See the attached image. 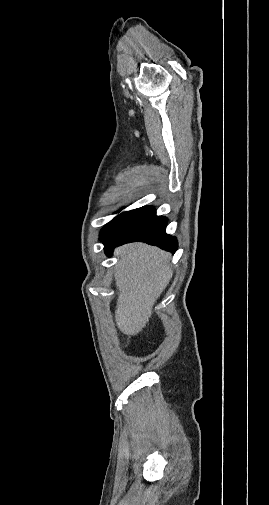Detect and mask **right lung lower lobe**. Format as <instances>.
Wrapping results in <instances>:
<instances>
[{
  "instance_id": "1",
  "label": "right lung lower lobe",
  "mask_w": 269,
  "mask_h": 505,
  "mask_svg": "<svg viewBox=\"0 0 269 505\" xmlns=\"http://www.w3.org/2000/svg\"><path fill=\"white\" fill-rule=\"evenodd\" d=\"M166 224V217L157 216L152 206L124 212L115 218L103 237L105 254L111 256L117 246L134 241L175 253L178 242L175 237L166 234Z\"/></svg>"
}]
</instances>
